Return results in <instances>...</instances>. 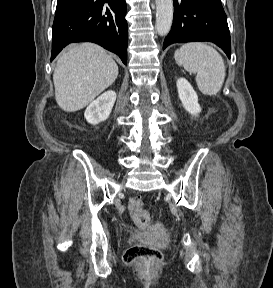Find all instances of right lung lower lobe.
Wrapping results in <instances>:
<instances>
[{
  "instance_id": "right-lung-lower-lobe-1",
  "label": "right lung lower lobe",
  "mask_w": 273,
  "mask_h": 288,
  "mask_svg": "<svg viewBox=\"0 0 273 288\" xmlns=\"http://www.w3.org/2000/svg\"><path fill=\"white\" fill-rule=\"evenodd\" d=\"M125 0H58L52 27L51 61L71 42L90 41L127 64Z\"/></svg>"
}]
</instances>
